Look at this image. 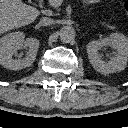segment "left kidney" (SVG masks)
Instances as JSON below:
<instances>
[{
    "label": "left kidney",
    "mask_w": 128,
    "mask_h": 128,
    "mask_svg": "<svg viewBox=\"0 0 128 128\" xmlns=\"http://www.w3.org/2000/svg\"><path fill=\"white\" fill-rule=\"evenodd\" d=\"M104 46H110L116 50L114 56L105 62L99 51ZM87 53L93 68L102 73L109 74L125 69L128 60V38L123 34L113 33L101 40H94L88 43Z\"/></svg>",
    "instance_id": "5707ae66"
}]
</instances>
